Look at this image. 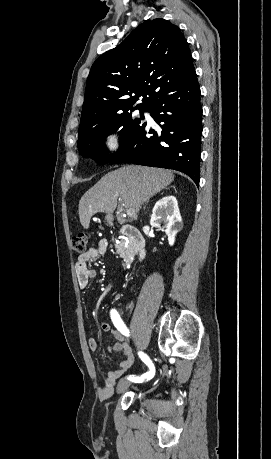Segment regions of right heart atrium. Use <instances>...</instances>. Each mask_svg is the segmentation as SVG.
Listing matches in <instances>:
<instances>
[{
  "label": "right heart atrium",
  "mask_w": 271,
  "mask_h": 459,
  "mask_svg": "<svg viewBox=\"0 0 271 459\" xmlns=\"http://www.w3.org/2000/svg\"><path fill=\"white\" fill-rule=\"evenodd\" d=\"M99 146L102 152L112 156L118 154L123 147V135L120 128H109L99 136Z\"/></svg>",
  "instance_id": "right-heart-atrium-1"
}]
</instances>
